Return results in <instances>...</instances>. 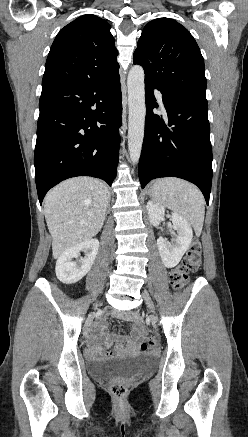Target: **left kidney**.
Instances as JSON below:
<instances>
[{"label": "left kidney", "mask_w": 248, "mask_h": 437, "mask_svg": "<svg viewBox=\"0 0 248 437\" xmlns=\"http://www.w3.org/2000/svg\"><path fill=\"white\" fill-rule=\"evenodd\" d=\"M146 207L150 222L153 226H158L164 221V206L158 202L149 201ZM171 221L173 223V230L177 231L176 237L171 242H168L164 237L157 239V247L162 262L167 268H173L180 262L193 238V231L190 224L180 215L172 213Z\"/></svg>", "instance_id": "1"}]
</instances>
